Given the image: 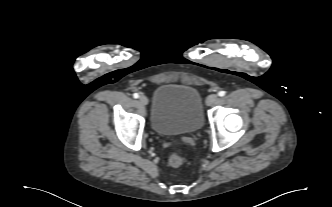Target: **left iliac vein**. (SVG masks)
<instances>
[{
  "label": "left iliac vein",
  "instance_id": "obj_1",
  "mask_svg": "<svg viewBox=\"0 0 332 207\" xmlns=\"http://www.w3.org/2000/svg\"><path fill=\"white\" fill-rule=\"evenodd\" d=\"M218 99H219V97H218L217 94H211V95H209V96L207 97V99H206V104H207L208 106H212V105H214V104L217 103Z\"/></svg>",
  "mask_w": 332,
  "mask_h": 207
}]
</instances>
